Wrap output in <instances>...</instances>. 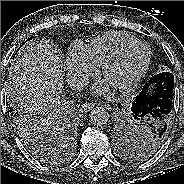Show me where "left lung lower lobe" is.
I'll use <instances>...</instances> for the list:
<instances>
[{"instance_id":"0a47b994","label":"left lung lower lobe","mask_w":184,"mask_h":184,"mask_svg":"<svg viewBox=\"0 0 184 184\" xmlns=\"http://www.w3.org/2000/svg\"><path fill=\"white\" fill-rule=\"evenodd\" d=\"M173 87L172 73L162 72L154 75L133 99L128 112L133 117L144 121L152 129L157 128L159 134L169 131L173 108Z\"/></svg>"}]
</instances>
